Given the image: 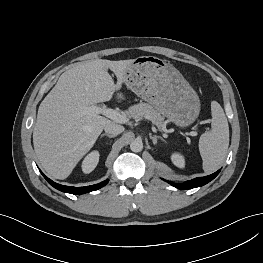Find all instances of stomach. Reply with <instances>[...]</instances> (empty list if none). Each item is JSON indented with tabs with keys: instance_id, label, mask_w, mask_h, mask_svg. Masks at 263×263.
<instances>
[{
	"instance_id": "0dacf381",
	"label": "stomach",
	"mask_w": 263,
	"mask_h": 263,
	"mask_svg": "<svg viewBox=\"0 0 263 263\" xmlns=\"http://www.w3.org/2000/svg\"><path fill=\"white\" fill-rule=\"evenodd\" d=\"M126 86L180 128L199 116L200 100L183 75L154 56L133 59L125 72Z\"/></svg>"
}]
</instances>
